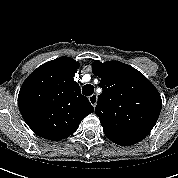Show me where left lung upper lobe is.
<instances>
[{
    "label": "left lung upper lobe",
    "instance_id": "1",
    "mask_svg": "<svg viewBox=\"0 0 178 178\" xmlns=\"http://www.w3.org/2000/svg\"><path fill=\"white\" fill-rule=\"evenodd\" d=\"M92 70L101 78L95 114L112 142L133 145L155 126L162 100L156 87L138 70L119 61H94Z\"/></svg>",
    "mask_w": 178,
    "mask_h": 178
}]
</instances>
